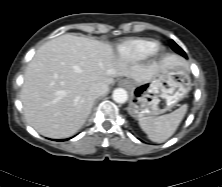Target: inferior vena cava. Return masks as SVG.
<instances>
[{
    "label": "inferior vena cava",
    "mask_w": 222,
    "mask_h": 187,
    "mask_svg": "<svg viewBox=\"0 0 222 187\" xmlns=\"http://www.w3.org/2000/svg\"><path fill=\"white\" fill-rule=\"evenodd\" d=\"M108 91V86L104 83H96L90 88V93L93 97L98 98Z\"/></svg>",
    "instance_id": "1"
}]
</instances>
